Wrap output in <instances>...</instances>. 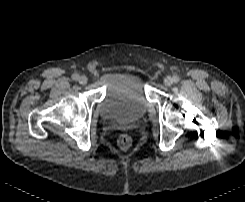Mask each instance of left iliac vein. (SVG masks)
Returning <instances> with one entry per match:
<instances>
[{
	"label": "left iliac vein",
	"instance_id": "1",
	"mask_svg": "<svg viewBox=\"0 0 245 202\" xmlns=\"http://www.w3.org/2000/svg\"><path fill=\"white\" fill-rule=\"evenodd\" d=\"M164 84L166 86H171L173 84V79L169 76H167L165 79H164Z\"/></svg>",
	"mask_w": 245,
	"mask_h": 202
}]
</instances>
